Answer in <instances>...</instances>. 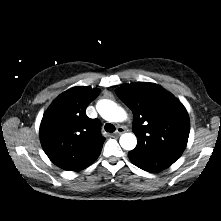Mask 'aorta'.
<instances>
[{"mask_svg": "<svg viewBox=\"0 0 221 221\" xmlns=\"http://www.w3.org/2000/svg\"><path fill=\"white\" fill-rule=\"evenodd\" d=\"M96 108L101 117L109 122H122L127 117L125 110L111 100H100ZM119 142L123 149L133 150L137 145V138L132 133H124Z\"/></svg>", "mask_w": 221, "mask_h": 221, "instance_id": "1", "label": "aorta"}]
</instances>
